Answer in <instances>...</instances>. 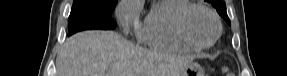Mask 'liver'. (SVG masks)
<instances>
[{
    "mask_svg": "<svg viewBox=\"0 0 287 76\" xmlns=\"http://www.w3.org/2000/svg\"><path fill=\"white\" fill-rule=\"evenodd\" d=\"M194 57L149 51L111 31H85L66 40L57 76H181Z\"/></svg>",
    "mask_w": 287,
    "mask_h": 76,
    "instance_id": "6515ba94",
    "label": "liver"
}]
</instances>
